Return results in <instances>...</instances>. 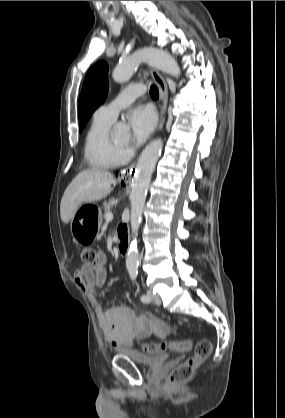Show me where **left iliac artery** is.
<instances>
[{"label":"left iliac artery","mask_w":285,"mask_h":418,"mask_svg":"<svg viewBox=\"0 0 285 418\" xmlns=\"http://www.w3.org/2000/svg\"><path fill=\"white\" fill-rule=\"evenodd\" d=\"M129 274L131 276V279L135 280L137 278V275H138V270L137 269H130ZM140 299L144 303H149L150 302V298L147 295H141Z\"/></svg>","instance_id":"44dca946"}]
</instances>
